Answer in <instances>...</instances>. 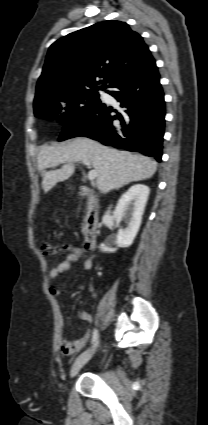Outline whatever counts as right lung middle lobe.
Masks as SVG:
<instances>
[{
	"instance_id": "dd1d6c3e",
	"label": "right lung middle lobe",
	"mask_w": 208,
	"mask_h": 425,
	"mask_svg": "<svg viewBox=\"0 0 208 425\" xmlns=\"http://www.w3.org/2000/svg\"><path fill=\"white\" fill-rule=\"evenodd\" d=\"M99 89H82L44 97L34 102V114L36 117L56 118L59 122H67L79 114L87 113L101 105Z\"/></svg>"
}]
</instances>
